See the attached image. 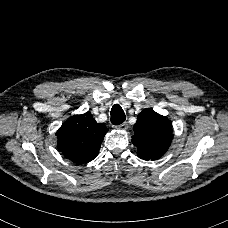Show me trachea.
Segmentation results:
<instances>
[{"label": "trachea", "instance_id": "trachea-1", "mask_svg": "<svg viewBox=\"0 0 228 228\" xmlns=\"http://www.w3.org/2000/svg\"><path fill=\"white\" fill-rule=\"evenodd\" d=\"M126 119L125 113L119 104H115L111 109V123L120 125Z\"/></svg>", "mask_w": 228, "mask_h": 228}]
</instances>
